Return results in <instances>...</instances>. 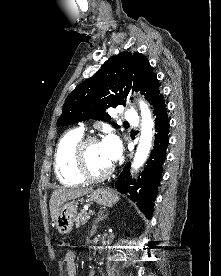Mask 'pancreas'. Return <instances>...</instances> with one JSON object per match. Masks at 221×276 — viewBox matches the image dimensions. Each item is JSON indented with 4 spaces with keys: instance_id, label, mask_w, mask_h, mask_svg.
Here are the masks:
<instances>
[{
    "instance_id": "pancreas-1",
    "label": "pancreas",
    "mask_w": 221,
    "mask_h": 276,
    "mask_svg": "<svg viewBox=\"0 0 221 276\" xmlns=\"http://www.w3.org/2000/svg\"><path fill=\"white\" fill-rule=\"evenodd\" d=\"M89 218V213L86 210H82L76 217V227L78 228L80 225H84Z\"/></svg>"
}]
</instances>
